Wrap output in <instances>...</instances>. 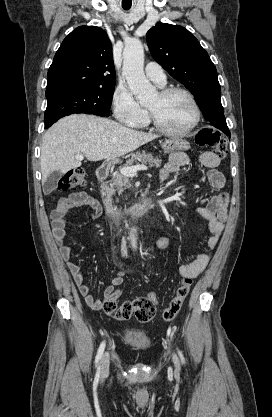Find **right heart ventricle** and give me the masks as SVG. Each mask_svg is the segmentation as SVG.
<instances>
[{"label": "right heart ventricle", "mask_w": 272, "mask_h": 417, "mask_svg": "<svg viewBox=\"0 0 272 417\" xmlns=\"http://www.w3.org/2000/svg\"><path fill=\"white\" fill-rule=\"evenodd\" d=\"M147 125H148V117H147V114H146V117L135 127L143 128V127H146Z\"/></svg>", "instance_id": "right-heart-ventricle-1"}]
</instances>
